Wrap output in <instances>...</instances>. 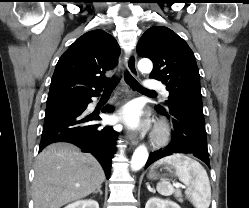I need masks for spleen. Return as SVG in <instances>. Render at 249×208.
<instances>
[{
  "instance_id": "spleen-1",
  "label": "spleen",
  "mask_w": 249,
  "mask_h": 208,
  "mask_svg": "<svg viewBox=\"0 0 249 208\" xmlns=\"http://www.w3.org/2000/svg\"><path fill=\"white\" fill-rule=\"evenodd\" d=\"M175 167V175L187 186L185 194L196 208H208L211 203V186L204 167L196 160L184 154H173L156 162L153 168L162 164ZM157 191L164 196H170L175 189L169 181L162 179L157 184Z\"/></svg>"
}]
</instances>
